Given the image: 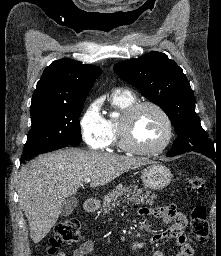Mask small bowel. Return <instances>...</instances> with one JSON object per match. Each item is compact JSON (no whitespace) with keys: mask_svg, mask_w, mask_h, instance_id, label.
I'll list each match as a JSON object with an SVG mask.
<instances>
[{"mask_svg":"<svg viewBox=\"0 0 221 256\" xmlns=\"http://www.w3.org/2000/svg\"><path fill=\"white\" fill-rule=\"evenodd\" d=\"M140 213L142 215H151L159 218L165 224H171L166 231L154 235L150 243H155L163 239H174L177 244L175 256H194V249L184 235L187 219L174 205L151 209L143 208L140 210ZM95 246L96 243L93 240L84 241L74 250L73 256H87L95 249ZM58 256H64V254L60 253ZM152 256H165V254L160 250H156L153 252Z\"/></svg>","mask_w":221,"mask_h":256,"instance_id":"obj_1","label":"small bowel"}]
</instances>
